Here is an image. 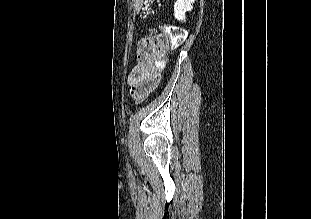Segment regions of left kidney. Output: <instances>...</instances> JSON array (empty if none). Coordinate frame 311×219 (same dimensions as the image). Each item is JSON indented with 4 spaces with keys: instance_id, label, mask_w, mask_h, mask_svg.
<instances>
[{
    "instance_id": "5707ae66",
    "label": "left kidney",
    "mask_w": 311,
    "mask_h": 219,
    "mask_svg": "<svg viewBox=\"0 0 311 219\" xmlns=\"http://www.w3.org/2000/svg\"><path fill=\"white\" fill-rule=\"evenodd\" d=\"M195 0H177L174 4V16L179 21H185V13L193 9Z\"/></svg>"
}]
</instances>
